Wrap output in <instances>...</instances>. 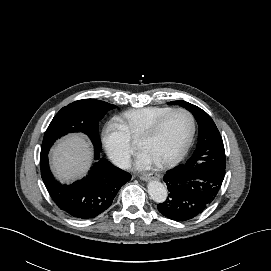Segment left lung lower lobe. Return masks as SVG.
Returning <instances> with one entry per match:
<instances>
[{"label":"left lung lower lobe","mask_w":271,"mask_h":271,"mask_svg":"<svg viewBox=\"0 0 271 271\" xmlns=\"http://www.w3.org/2000/svg\"><path fill=\"white\" fill-rule=\"evenodd\" d=\"M223 173L181 164L164 175L170 198L158 204L161 214L175 221L190 220L201 214L216 198Z\"/></svg>","instance_id":"1"}]
</instances>
